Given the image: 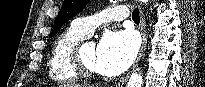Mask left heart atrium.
Returning a JSON list of instances; mask_svg holds the SVG:
<instances>
[{
    "instance_id": "obj_1",
    "label": "left heart atrium",
    "mask_w": 205,
    "mask_h": 87,
    "mask_svg": "<svg viewBox=\"0 0 205 87\" xmlns=\"http://www.w3.org/2000/svg\"><path fill=\"white\" fill-rule=\"evenodd\" d=\"M138 42L131 31H109L96 48L94 69L106 76H116L133 62Z\"/></svg>"
}]
</instances>
